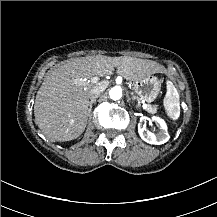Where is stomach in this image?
<instances>
[{"instance_id":"0dacf381","label":"stomach","mask_w":217,"mask_h":217,"mask_svg":"<svg viewBox=\"0 0 217 217\" xmlns=\"http://www.w3.org/2000/svg\"><path fill=\"white\" fill-rule=\"evenodd\" d=\"M135 92L148 101H153L161 89V81L154 75L137 80L134 85Z\"/></svg>"}]
</instances>
